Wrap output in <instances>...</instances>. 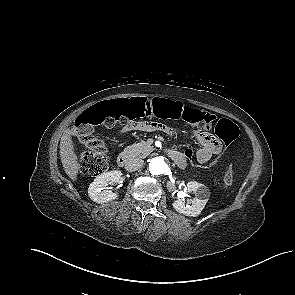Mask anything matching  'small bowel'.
I'll use <instances>...</instances> for the list:
<instances>
[{"label":"small bowel","instance_id":"1","mask_svg":"<svg viewBox=\"0 0 295 295\" xmlns=\"http://www.w3.org/2000/svg\"><path fill=\"white\" fill-rule=\"evenodd\" d=\"M158 129L159 128L157 127V125H155V123L152 122H133L126 124L123 127L122 131H152ZM193 135L198 144L200 145V148L197 150L195 154V158L198 162H201L203 164L209 162L214 156H216L220 152L222 148V143L213 134L208 132H196ZM180 154L184 158V164L180 167H184L186 165L187 158H185L184 154Z\"/></svg>","mask_w":295,"mask_h":295}]
</instances>
